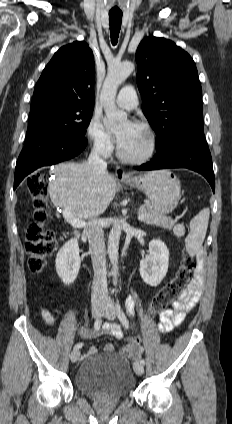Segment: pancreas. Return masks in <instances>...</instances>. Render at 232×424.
<instances>
[{"label": "pancreas", "mask_w": 232, "mask_h": 424, "mask_svg": "<svg viewBox=\"0 0 232 424\" xmlns=\"http://www.w3.org/2000/svg\"><path fill=\"white\" fill-rule=\"evenodd\" d=\"M139 213L145 214V219L143 220L144 223L156 225L164 229L172 230L177 222V220L167 217L150 204L142 205L139 209Z\"/></svg>", "instance_id": "cf45deb5"}]
</instances>
